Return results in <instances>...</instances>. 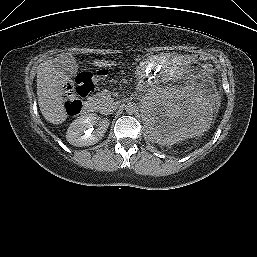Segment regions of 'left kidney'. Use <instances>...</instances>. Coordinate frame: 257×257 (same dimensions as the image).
Listing matches in <instances>:
<instances>
[{"instance_id": "left-kidney-1", "label": "left kidney", "mask_w": 257, "mask_h": 257, "mask_svg": "<svg viewBox=\"0 0 257 257\" xmlns=\"http://www.w3.org/2000/svg\"><path fill=\"white\" fill-rule=\"evenodd\" d=\"M144 121L154 142L172 145L207 130V103L193 90L171 87L146 102Z\"/></svg>"}]
</instances>
